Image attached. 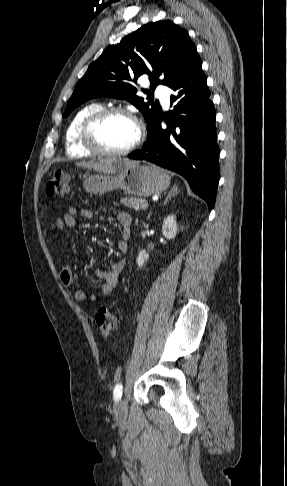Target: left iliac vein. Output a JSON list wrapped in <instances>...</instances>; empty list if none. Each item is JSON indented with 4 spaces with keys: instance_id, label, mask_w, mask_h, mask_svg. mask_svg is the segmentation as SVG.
Returning a JSON list of instances; mask_svg holds the SVG:
<instances>
[{
    "instance_id": "left-iliac-vein-1",
    "label": "left iliac vein",
    "mask_w": 287,
    "mask_h": 486,
    "mask_svg": "<svg viewBox=\"0 0 287 486\" xmlns=\"http://www.w3.org/2000/svg\"><path fill=\"white\" fill-rule=\"evenodd\" d=\"M114 413L116 418H124L127 414V405L124 399H120L118 402H116L114 406Z\"/></svg>"
}]
</instances>
